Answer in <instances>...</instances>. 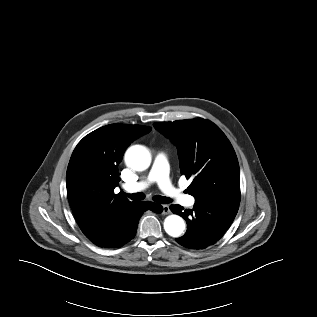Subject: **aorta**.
I'll list each match as a JSON object with an SVG mask.
<instances>
[{
  "instance_id": "762f6f07",
  "label": "aorta",
  "mask_w": 317,
  "mask_h": 317,
  "mask_svg": "<svg viewBox=\"0 0 317 317\" xmlns=\"http://www.w3.org/2000/svg\"><path fill=\"white\" fill-rule=\"evenodd\" d=\"M125 163L135 171H144L150 166L151 154L144 146H132L125 153ZM163 224L166 233L172 237H179L185 230L184 220L176 214L167 216Z\"/></svg>"
}]
</instances>
